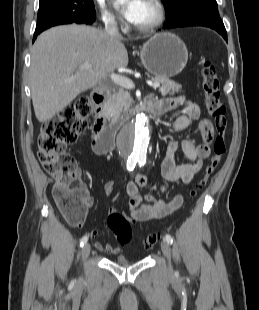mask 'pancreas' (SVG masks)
<instances>
[{"instance_id": "cf45deb5", "label": "pancreas", "mask_w": 259, "mask_h": 310, "mask_svg": "<svg viewBox=\"0 0 259 310\" xmlns=\"http://www.w3.org/2000/svg\"><path fill=\"white\" fill-rule=\"evenodd\" d=\"M152 81L161 83L159 92L162 96L174 95L181 91L182 86L167 78L152 77ZM133 99L130 93L123 87L117 89L116 92L108 99L106 105V114L112 122L125 121L129 118L130 107Z\"/></svg>"}]
</instances>
